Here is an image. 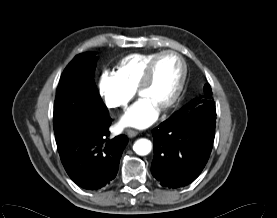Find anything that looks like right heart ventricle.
<instances>
[{
	"mask_svg": "<svg viewBox=\"0 0 277 218\" xmlns=\"http://www.w3.org/2000/svg\"><path fill=\"white\" fill-rule=\"evenodd\" d=\"M159 52L133 53L127 55L118 65V74L132 88L136 89L149 62Z\"/></svg>",
	"mask_w": 277,
	"mask_h": 218,
	"instance_id": "e07e8e85",
	"label": "right heart ventricle"
}]
</instances>
